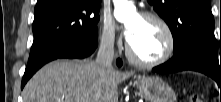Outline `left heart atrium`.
<instances>
[{
  "mask_svg": "<svg viewBox=\"0 0 221 102\" xmlns=\"http://www.w3.org/2000/svg\"><path fill=\"white\" fill-rule=\"evenodd\" d=\"M124 34H125L126 38L128 39V41H130L133 38L134 29L132 27L127 26L124 29Z\"/></svg>",
  "mask_w": 221,
  "mask_h": 102,
  "instance_id": "1",
  "label": "left heart atrium"
}]
</instances>
